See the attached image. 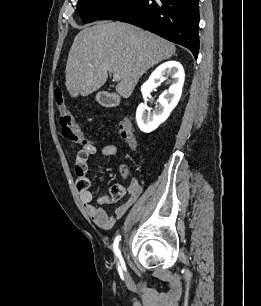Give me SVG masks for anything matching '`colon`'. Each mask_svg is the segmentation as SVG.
<instances>
[{
    "mask_svg": "<svg viewBox=\"0 0 261 306\" xmlns=\"http://www.w3.org/2000/svg\"><path fill=\"white\" fill-rule=\"evenodd\" d=\"M54 101L59 119V125L63 135L71 142L81 145V149L78 152L79 159H86L90 157L93 152V145L84 139L81 129L75 121L74 116L65 105L64 96L60 89H56L54 92ZM119 132L123 139L130 145L135 146V137L131 125L122 121L119 123ZM122 172L125 174L126 170ZM78 189H84L89 186L86 181H80L77 183ZM122 196V190L117 187H112L106 194L99 198V202L102 205H109L117 201Z\"/></svg>",
    "mask_w": 261,
    "mask_h": 306,
    "instance_id": "obj_1",
    "label": "colon"
}]
</instances>
